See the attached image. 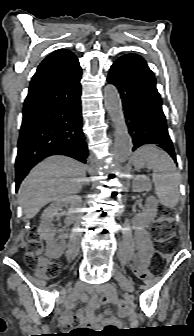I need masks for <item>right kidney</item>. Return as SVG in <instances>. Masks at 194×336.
Instances as JSON below:
<instances>
[{"label": "right kidney", "instance_id": "right-kidney-1", "mask_svg": "<svg viewBox=\"0 0 194 336\" xmlns=\"http://www.w3.org/2000/svg\"><path fill=\"white\" fill-rule=\"evenodd\" d=\"M82 199L80 196H66L54 201L50 204L42 213L41 223L38 228V234L42 239L46 241L47 252L50 256L58 258L63 254L65 249L66 235L60 234V242L55 239L56 230L53 226L55 217L59 215V211H62L63 207L67 208L66 213V225H70L73 215L76 213L77 208L81 205Z\"/></svg>", "mask_w": 194, "mask_h": 336}]
</instances>
